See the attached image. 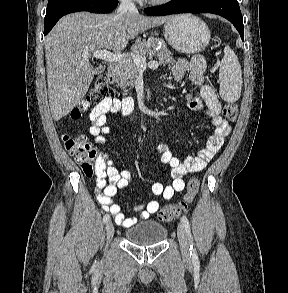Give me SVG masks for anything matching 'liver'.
Masks as SVG:
<instances>
[{
	"mask_svg": "<svg viewBox=\"0 0 288 293\" xmlns=\"http://www.w3.org/2000/svg\"><path fill=\"white\" fill-rule=\"evenodd\" d=\"M170 17L139 13L92 14L78 12L61 18L45 39L49 106L55 121L69 114L86 95L96 74L89 62L93 53L121 51L131 39L161 25Z\"/></svg>",
	"mask_w": 288,
	"mask_h": 293,
	"instance_id": "6515ba94",
	"label": "liver"
}]
</instances>
